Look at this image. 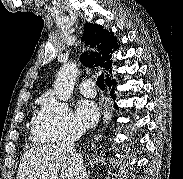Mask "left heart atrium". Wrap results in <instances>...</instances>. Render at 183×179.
<instances>
[{"label":"left heart atrium","instance_id":"left-heart-atrium-1","mask_svg":"<svg viewBox=\"0 0 183 179\" xmlns=\"http://www.w3.org/2000/svg\"><path fill=\"white\" fill-rule=\"evenodd\" d=\"M76 110L80 121L86 127L94 126L100 116L98 106L90 100L79 101Z\"/></svg>","mask_w":183,"mask_h":179}]
</instances>
